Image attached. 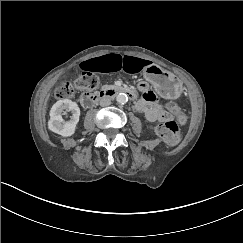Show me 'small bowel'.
<instances>
[{
    "label": "small bowel",
    "instance_id": "obj_1",
    "mask_svg": "<svg viewBox=\"0 0 243 243\" xmlns=\"http://www.w3.org/2000/svg\"><path fill=\"white\" fill-rule=\"evenodd\" d=\"M147 65L144 59L138 57L106 54L82 62L81 68L90 72H117L122 70L128 73H138ZM138 88L142 92V98L137 102L136 109L144 113L145 118L150 122L167 120L169 115L158 103L157 96L149 89L148 85L142 82L138 85Z\"/></svg>",
    "mask_w": 243,
    "mask_h": 243
}]
</instances>
